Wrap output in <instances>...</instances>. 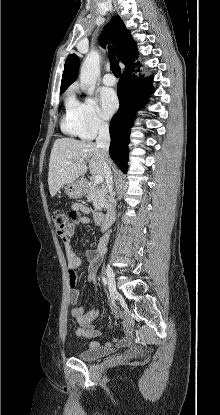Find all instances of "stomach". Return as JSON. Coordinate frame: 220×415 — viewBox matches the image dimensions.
Returning <instances> with one entry per match:
<instances>
[{
	"label": "stomach",
	"mask_w": 220,
	"mask_h": 415,
	"mask_svg": "<svg viewBox=\"0 0 220 415\" xmlns=\"http://www.w3.org/2000/svg\"><path fill=\"white\" fill-rule=\"evenodd\" d=\"M66 194L71 198H81L86 192V185L82 181H76L65 186Z\"/></svg>",
	"instance_id": "obj_1"
}]
</instances>
